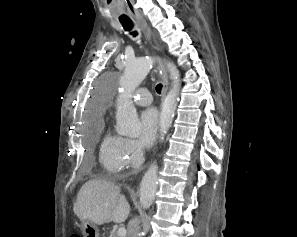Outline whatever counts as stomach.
Here are the masks:
<instances>
[{"label": "stomach", "mask_w": 297, "mask_h": 237, "mask_svg": "<svg viewBox=\"0 0 297 237\" xmlns=\"http://www.w3.org/2000/svg\"><path fill=\"white\" fill-rule=\"evenodd\" d=\"M80 228L84 237H99L97 225L90 221H83Z\"/></svg>", "instance_id": "1"}]
</instances>
